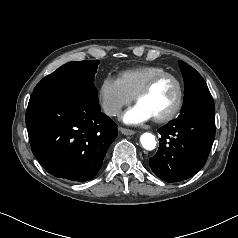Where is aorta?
Instances as JSON below:
<instances>
[{"label": "aorta", "mask_w": 238, "mask_h": 238, "mask_svg": "<svg viewBox=\"0 0 238 238\" xmlns=\"http://www.w3.org/2000/svg\"><path fill=\"white\" fill-rule=\"evenodd\" d=\"M140 143L146 150H153L156 147V139L152 133L145 132L140 136Z\"/></svg>", "instance_id": "762f6f07"}]
</instances>
